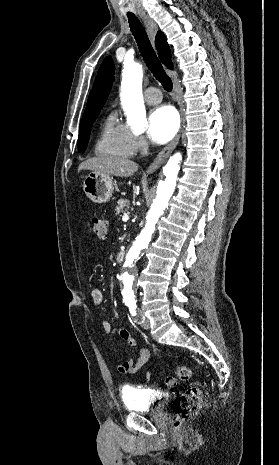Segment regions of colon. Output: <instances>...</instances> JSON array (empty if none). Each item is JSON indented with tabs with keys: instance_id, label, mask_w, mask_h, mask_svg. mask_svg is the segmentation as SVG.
Returning a JSON list of instances; mask_svg holds the SVG:
<instances>
[{
	"instance_id": "1",
	"label": "colon",
	"mask_w": 279,
	"mask_h": 465,
	"mask_svg": "<svg viewBox=\"0 0 279 465\" xmlns=\"http://www.w3.org/2000/svg\"><path fill=\"white\" fill-rule=\"evenodd\" d=\"M92 228L99 239H104L106 237L107 223L104 219L94 217L92 219ZM176 375L181 381H189L192 378L193 371L189 367L180 366L176 370ZM165 384L168 387H174L177 384V380L172 376H168L165 379ZM200 404V390L195 386L189 387L180 395L175 406L176 419L174 426L177 430L182 428L185 420L200 407Z\"/></svg>"
}]
</instances>
